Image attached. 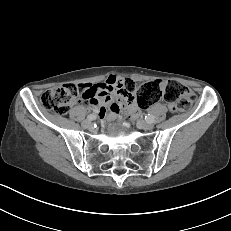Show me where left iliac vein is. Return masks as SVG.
<instances>
[{
  "mask_svg": "<svg viewBox=\"0 0 231 231\" xmlns=\"http://www.w3.org/2000/svg\"><path fill=\"white\" fill-rule=\"evenodd\" d=\"M138 124L144 130H152L154 128V125L152 123L146 122V121H143V120H139Z\"/></svg>",
  "mask_w": 231,
  "mask_h": 231,
  "instance_id": "left-iliac-vein-1",
  "label": "left iliac vein"
}]
</instances>
